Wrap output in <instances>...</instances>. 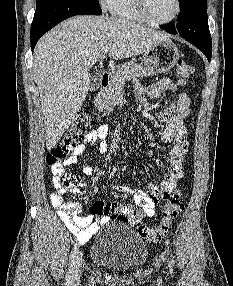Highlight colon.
Segmentation results:
<instances>
[{
    "label": "colon",
    "instance_id": "5ec220e1",
    "mask_svg": "<svg viewBox=\"0 0 233 286\" xmlns=\"http://www.w3.org/2000/svg\"><path fill=\"white\" fill-rule=\"evenodd\" d=\"M195 73V67L185 61H179L176 66V75L181 83L190 78ZM93 124V118L87 108H82L74 117L60 141L49 150L46 155V162L52 168L65 190L75 193H83L85 184L73 173L64 172L59 167L62 160L70 156L77 145L82 140L84 134L89 131ZM184 204L180 192H175L173 197L164 205L161 220L158 226L149 227L141 220V211L138 207L132 206L129 210L131 224L134 225L139 235L152 244L160 243L168 233L172 222L182 212Z\"/></svg>",
    "mask_w": 233,
    "mask_h": 286
}]
</instances>
